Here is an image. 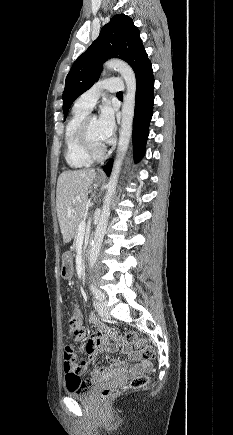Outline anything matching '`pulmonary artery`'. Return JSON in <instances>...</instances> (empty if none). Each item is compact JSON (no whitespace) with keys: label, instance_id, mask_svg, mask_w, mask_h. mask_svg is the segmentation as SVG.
I'll return each instance as SVG.
<instances>
[{"label":"pulmonary artery","instance_id":"obj_1","mask_svg":"<svg viewBox=\"0 0 233 435\" xmlns=\"http://www.w3.org/2000/svg\"><path fill=\"white\" fill-rule=\"evenodd\" d=\"M103 90L112 93H122L123 78H108L96 83L91 89L84 92L76 99L75 106L89 112Z\"/></svg>","mask_w":233,"mask_h":435}]
</instances>
